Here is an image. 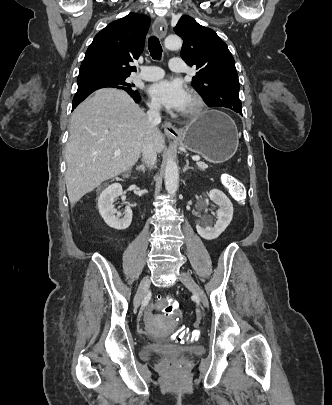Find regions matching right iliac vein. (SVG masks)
<instances>
[{"mask_svg": "<svg viewBox=\"0 0 332 405\" xmlns=\"http://www.w3.org/2000/svg\"><path fill=\"white\" fill-rule=\"evenodd\" d=\"M149 285H150V277L146 276L142 279V281L139 285V288L137 290V293L135 295V298H134V307L135 308H138L140 306V304L145 296V293L148 290Z\"/></svg>", "mask_w": 332, "mask_h": 405, "instance_id": "right-iliac-vein-1", "label": "right iliac vein"}]
</instances>
